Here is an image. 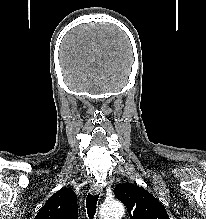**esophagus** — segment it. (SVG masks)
I'll list each match as a JSON object with an SVG mask.
<instances>
[{"mask_svg": "<svg viewBox=\"0 0 206 219\" xmlns=\"http://www.w3.org/2000/svg\"><path fill=\"white\" fill-rule=\"evenodd\" d=\"M90 191L92 194H102L103 189L100 185L93 184L91 185Z\"/></svg>", "mask_w": 206, "mask_h": 219, "instance_id": "obj_1", "label": "esophagus"}]
</instances>
